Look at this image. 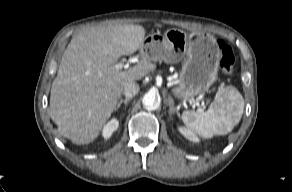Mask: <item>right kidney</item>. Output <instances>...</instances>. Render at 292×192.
Instances as JSON below:
<instances>
[{"instance_id":"right-kidney-1","label":"right kidney","mask_w":292,"mask_h":192,"mask_svg":"<svg viewBox=\"0 0 292 192\" xmlns=\"http://www.w3.org/2000/svg\"><path fill=\"white\" fill-rule=\"evenodd\" d=\"M119 121L117 119L110 120L103 128L102 135L105 139H108L114 131L117 130Z\"/></svg>"}]
</instances>
